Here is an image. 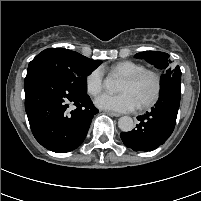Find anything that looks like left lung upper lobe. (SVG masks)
Here are the masks:
<instances>
[{"instance_id": "obj_1", "label": "left lung upper lobe", "mask_w": 201, "mask_h": 201, "mask_svg": "<svg viewBox=\"0 0 201 201\" xmlns=\"http://www.w3.org/2000/svg\"><path fill=\"white\" fill-rule=\"evenodd\" d=\"M135 58L145 59L155 67L162 69L164 74L161 76V91L168 88L171 84L181 83V70L179 66L172 67L169 54L164 52L146 51L135 55Z\"/></svg>"}]
</instances>
